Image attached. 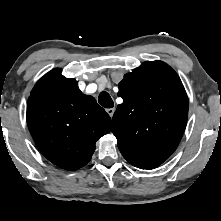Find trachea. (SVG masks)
Here are the masks:
<instances>
[{
  "label": "trachea",
  "instance_id": "trachea-1",
  "mask_svg": "<svg viewBox=\"0 0 221 221\" xmlns=\"http://www.w3.org/2000/svg\"><path fill=\"white\" fill-rule=\"evenodd\" d=\"M98 101L99 104L105 108H112L114 106V102L107 92H101L98 97Z\"/></svg>",
  "mask_w": 221,
  "mask_h": 221
}]
</instances>
